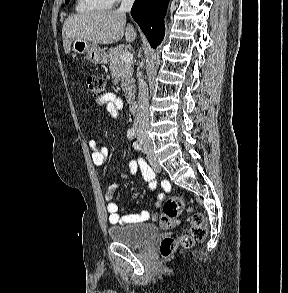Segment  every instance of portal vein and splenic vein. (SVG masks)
<instances>
[{
    "instance_id": "1",
    "label": "portal vein and splenic vein",
    "mask_w": 288,
    "mask_h": 293,
    "mask_svg": "<svg viewBox=\"0 0 288 293\" xmlns=\"http://www.w3.org/2000/svg\"><path fill=\"white\" fill-rule=\"evenodd\" d=\"M120 60L124 63H130L133 61V55L129 52H124L121 56H120Z\"/></svg>"
}]
</instances>
